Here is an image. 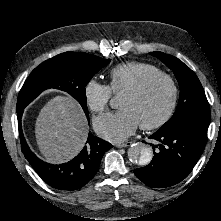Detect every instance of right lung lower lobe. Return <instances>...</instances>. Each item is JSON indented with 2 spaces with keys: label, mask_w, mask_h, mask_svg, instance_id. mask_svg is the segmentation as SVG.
I'll return each instance as SVG.
<instances>
[{
  "label": "right lung lower lobe",
  "mask_w": 221,
  "mask_h": 221,
  "mask_svg": "<svg viewBox=\"0 0 221 221\" xmlns=\"http://www.w3.org/2000/svg\"><path fill=\"white\" fill-rule=\"evenodd\" d=\"M22 113L17 112L22 152L38 175L55 189L74 191L85 186L97 173L103 154L112 148L109 142L89 134L86 146L74 159L59 165L46 163L26 143L21 127Z\"/></svg>",
  "instance_id": "1"
}]
</instances>
